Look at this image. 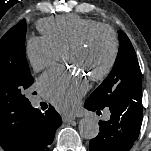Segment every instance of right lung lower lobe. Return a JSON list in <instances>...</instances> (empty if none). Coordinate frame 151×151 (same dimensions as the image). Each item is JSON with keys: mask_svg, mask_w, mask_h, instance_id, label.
Instances as JSON below:
<instances>
[{"mask_svg": "<svg viewBox=\"0 0 151 151\" xmlns=\"http://www.w3.org/2000/svg\"><path fill=\"white\" fill-rule=\"evenodd\" d=\"M36 125L38 134L35 139V146L32 151H49L56 129L61 125V117L53 106H50L46 113L36 109Z\"/></svg>", "mask_w": 151, "mask_h": 151, "instance_id": "98d812e1", "label": "right lung lower lobe"}]
</instances>
